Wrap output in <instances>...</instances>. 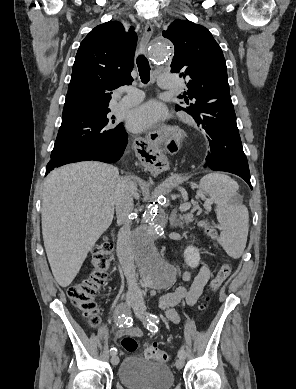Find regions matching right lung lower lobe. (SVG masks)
<instances>
[{
  "label": "right lung lower lobe",
  "instance_id": "right-lung-lower-lobe-1",
  "mask_svg": "<svg viewBox=\"0 0 296 389\" xmlns=\"http://www.w3.org/2000/svg\"><path fill=\"white\" fill-rule=\"evenodd\" d=\"M128 140V135L124 129V134L122 136V139L119 140L117 143L112 144L109 147L106 146H100L95 147L93 149H83L80 152H78L76 157L73 158H56L54 161V164L47 167L46 169V175L54 168L59 167L68 163L73 162H79V161H88V160H94V161H101L106 163H113L120 159L122 156L124 149L126 147Z\"/></svg>",
  "mask_w": 296,
  "mask_h": 389
}]
</instances>
